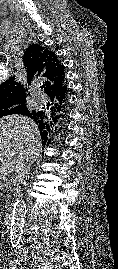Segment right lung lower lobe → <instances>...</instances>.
I'll list each match as a JSON object with an SVG mask.
<instances>
[{
	"label": "right lung lower lobe",
	"mask_w": 118,
	"mask_h": 269,
	"mask_svg": "<svg viewBox=\"0 0 118 269\" xmlns=\"http://www.w3.org/2000/svg\"><path fill=\"white\" fill-rule=\"evenodd\" d=\"M49 136V135H48ZM48 138V137H47ZM47 139L44 140V143L46 142Z\"/></svg>",
	"instance_id": "obj_1"
}]
</instances>
